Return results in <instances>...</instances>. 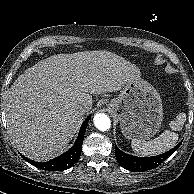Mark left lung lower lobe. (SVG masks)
Instances as JSON below:
<instances>
[{
  "instance_id": "1",
  "label": "left lung lower lobe",
  "mask_w": 194,
  "mask_h": 194,
  "mask_svg": "<svg viewBox=\"0 0 194 194\" xmlns=\"http://www.w3.org/2000/svg\"><path fill=\"white\" fill-rule=\"evenodd\" d=\"M180 145L181 143L163 154L152 157H136L128 155L122 152L118 147H115V155L122 167L130 171L140 172L156 168L169 156H171V154H173L177 150V148L180 147Z\"/></svg>"
}]
</instances>
